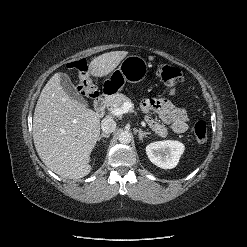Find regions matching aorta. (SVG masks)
<instances>
[{
	"label": "aorta",
	"mask_w": 247,
	"mask_h": 247,
	"mask_svg": "<svg viewBox=\"0 0 247 247\" xmlns=\"http://www.w3.org/2000/svg\"><path fill=\"white\" fill-rule=\"evenodd\" d=\"M132 140V135L129 132L123 131L119 134V142L122 144H128Z\"/></svg>",
	"instance_id": "762f6f07"
}]
</instances>
